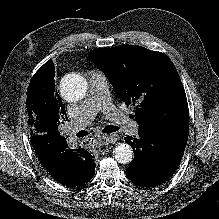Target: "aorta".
Instances as JSON below:
<instances>
[{
    "label": "aorta",
    "mask_w": 219,
    "mask_h": 219,
    "mask_svg": "<svg viewBox=\"0 0 219 219\" xmlns=\"http://www.w3.org/2000/svg\"><path fill=\"white\" fill-rule=\"evenodd\" d=\"M60 91L63 98L69 102L81 100L87 91V82L80 75H70L65 77L60 85ZM115 160L121 164L130 163L133 160V151L128 144H120L115 147Z\"/></svg>",
    "instance_id": "1"
}]
</instances>
